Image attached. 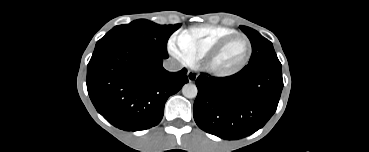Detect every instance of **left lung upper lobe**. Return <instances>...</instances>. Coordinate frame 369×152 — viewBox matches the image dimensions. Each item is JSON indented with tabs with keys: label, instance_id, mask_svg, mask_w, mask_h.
I'll list each match as a JSON object with an SVG mask.
<instances>
[{
	"label": "left lung upper lobe",
	"instance_id": "obj_1",
	"mask_svg": "<svg viewBox=\"0 0 369 152\" xmlns=\"http://www.w3.org/2000/svg\"><path fill=\"white\" fill-rule=\"evenodd\" d=\"M240 29L247 35L252 44L250 61L243 69H250L258 66H281L273 45L269 40L252 28L240 26Z\"/></svg>",
	"mask_w": 369,
	"mask_h": 152
}]
</instances>
